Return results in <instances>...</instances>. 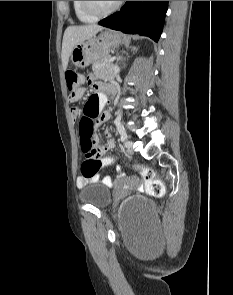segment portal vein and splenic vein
Here are the masks:
<instances>
[{
    "label": "portal vein and splenic vein",
    "mask_w": 233,
    "mask_h": 295,
    "mask_svg": "<svg viewBox=\"0 0 233 295\" xmlns=\"http://www.w3.org/2000/svg\"><path fill=\"white\" fill-rule=\"evenodd\" d=\"M115 60V58L113 57V58H110L109 59V62H113Z\"/></svg>",
    "instance_id": "1"
}]
</instances>
